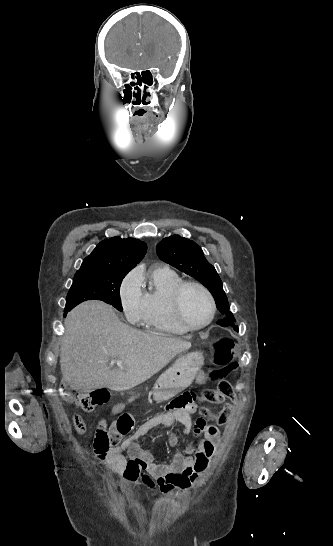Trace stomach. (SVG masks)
<instances>
[{
	"instance_id": "obj_1",
	"label": "stomach",
	"mask_w": 333,
	"mask_h": 546,
	"mask_svg": "<svg viewBox=\"0 0 333 546\" xmlns=\"http://www.w3.org/2000/svg\"><path fill=\"white\" fill-rule=\"evenodd\" d=\"M204 358L200 352L180 356L175 363L161 374L152 388L153 399L162 402L174 397L187 388L194 380V371L200 370Z\"/></svg>"
}]
</instances>
